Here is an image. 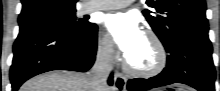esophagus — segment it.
<instances>
[{
  "label": "esophagus",
  "mask_w": 220,
  "mask_h": 91,
  "mask_svg": "<svg viewBox=\"0 0 220 91\" xmlns=\"http://www.w3.org/2000/svg\"><path fill=\"white\" fill-rule=\"evenodd\" d=\"M126 83H127V79L126 77L116 71L115 75H114V88L116 91H125L126 90Z\"/></svg>",
  "instance_id": "esophagus-1"
}]
</instances>
